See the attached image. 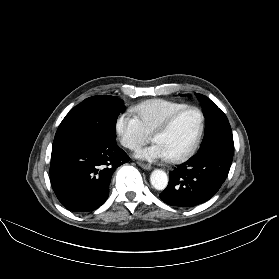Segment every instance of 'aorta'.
<instances>
[{"instance_id": "obj_1", "label": "aorta", "mask_w": 279, "mask_h": 279, "mask_svg": "<svg viewBox=\"0 0 279 279\" xmlns=\"http://www.w3.org/2000/svg\"><path fill=\"white\" fill-rule=\"evenodd\" d=\"M151 185L157 190H164L168 185L167 174L160 169H155L150 176Z\"/></svg>"}]
</instances>
